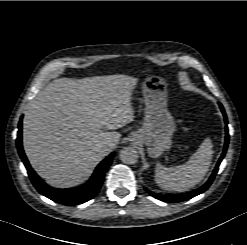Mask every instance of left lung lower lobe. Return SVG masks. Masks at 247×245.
<instances>
[{
	"label": "left lung lower lobe",
	"instance_id": "obj_1",
	"mask_svg": "<svg viewBox=\"0 0 247 245\" xmlns=\"http://www.w3.org/2000/svg\"><path fill=\"white\" fill-rule=\"evenodd\" d=\"M219 106H220V109L224 115V120H225V123L227 124V116H226V113L224 111V108L223 106L219 103ZM226 130V137H225V145H224V150H223V153L212 173V175L210 176L209 180L203 185L201 186L199 189L193 191V192H190V193H186V194H180V195H158V194H154L152 192H150L149 190H146L147 193H149L151 196L159 199V200H162V201H166V202H182V201H185V200H188V199H191L201 193H203L204 191H206L209 186L211 185V183L213 182L216 174H217V171H218V168H219V165L222 161V159L224 158L225 156V153L227 151V148H228V144H229V133H228V128L226 126L225 128Z\"/></svg>",
	"mask_w": 247,
	"mask_h": 245
}]
</instances>
